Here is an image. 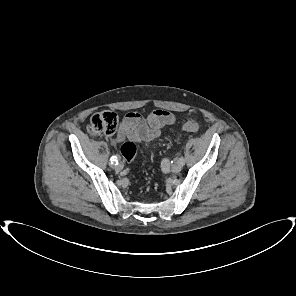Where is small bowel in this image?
I'll use <instances>...</instances> for the list:
<instances>
[{"mask_svg": "<svg viewBox=\"0 0 296 296\" xmlns=\"http://www.w3.org/2000/svg\"><path fill=\"white\" fill-rule=\"evenodd\" d=\"M175 121V115L164 109H156L146 116L130 112L123 118L113 143H120L126 138L135 142L155 139L164 127L172 125Z\"/></svg>", "mask_w": 296, "mask_h": 296, "instance_id": "c3829d8e", "label": "small bowel"}]
</instances>
